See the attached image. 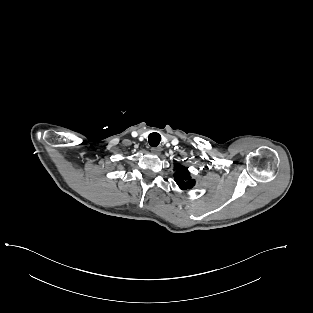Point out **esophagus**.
Listing matches in <instances>:
<instances>
[{"mask_svg": "<svg viewBox=\"0 0 313 313\" xmlns=\"http://www.w3.org/2000/svg\"><path fill=\"white\" fill-rule=\"evenodd\" d=\"M151 152H152L153 154L158 155V154H160V152H161V148H160V147H152V148H151Z\"/></svg>", "mask_w": 313, "mask_h": 313, "instance_id": "obj_1", "label": "esophagus"}]
</instances>
